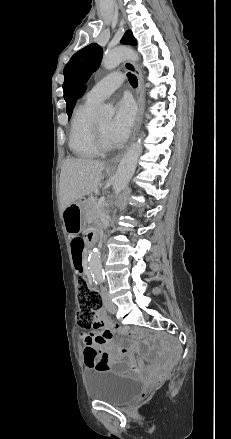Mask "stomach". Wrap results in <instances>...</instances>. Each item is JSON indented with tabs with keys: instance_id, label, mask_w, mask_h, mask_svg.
I'll return each mask as SVG.
<instances>
[{
	"instance_id": "1",
	"label": "stomach",
	"mask_w": 231,
	"mask_h": 439,
	"mask_svg": "<svg viewBox=\"0 0 231 439\" xmlns=\"http://www.w3.org/2000/svg\"><path fill=\"white\" fill-rule=\"evenodd\" d=\"M105 172L107 175H110L112 173V170L106 168ZM72 207H77L78 209L81 208V202L73 203L65 208L63 220L66 231L71 235H75L82 230L83 222L82 219L79 217V213H77V210H75L76 213L72 214L73 212L69 209Z\"/></svg>"
}]
</instances>
